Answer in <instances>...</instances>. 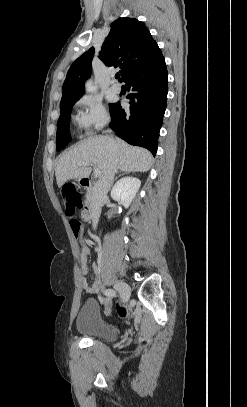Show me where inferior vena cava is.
Returning <instances> with one entry per match:
<instances>
[{
  "instance_id": "obj_1",
  "label": "inferior vena cava",
  "mask_w": 247,
  "mask_h": 407,
  "mask_svg": "<svg viewBox=\"0 0 247 407\" xmlns=\"http://www.w3.org/2000/svg\"><path fill=\"white\" fill-rule=\"evenodd\" d=\"M117 169V162L114 157H111L107 170L104 172L103 175L100 176L98 182L94 187L93 198L91 202V217L94 230L97 227L101 214L102 201L107 195Z\"/></svg>"
}]
</instances>
